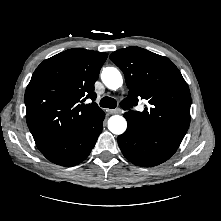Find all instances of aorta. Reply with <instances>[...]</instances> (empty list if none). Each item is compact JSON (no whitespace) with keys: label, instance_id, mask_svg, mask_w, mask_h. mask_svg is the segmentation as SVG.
Here are the masks:
<instances>
[{"label":"aorta","instance_id":"obj_1","mask_svg":"<svg viewBox=\"0 0 221 221\" xmlns=\"http://www.w3.org/2000/svg\"><path fill=\"white\" fill-rule=\"evenodd\" d=\"M101 79L104 85L111 89L117 90L123 84V78L120 71L115 67H106L101 73ZM127 128L126 119L120 115L111 116L108 120V129L113 134H123Z\"/></svg>","mask_w":221,"mask_h":221}]
</instances>
